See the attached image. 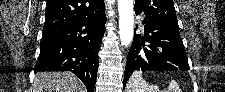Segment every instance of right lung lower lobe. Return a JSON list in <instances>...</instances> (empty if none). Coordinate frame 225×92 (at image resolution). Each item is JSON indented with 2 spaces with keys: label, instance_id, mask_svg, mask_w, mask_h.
<instances>
[{
  "label": "right lung lower lobe",
  "instance_id": "right-lung-lower-lobe-1",
  "mask_svg": "<svg viewBox=\"0 0 225 92\" xmlns=\"http://www.w3.org/2000/svg\"><path fill=\"white\" fill-rule=\"evenodd\" d=\"M106 20L103 11L42 35L35 72L70 71L82 80L88 92H94Z\"/></svg>",
  "mask_w": 225,
  "mask_h": 92
}]
</instances>
